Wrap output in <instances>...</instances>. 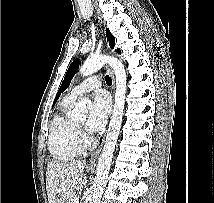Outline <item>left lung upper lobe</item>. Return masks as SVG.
<instances>
[{
  "label": "left lung upper lobe",
  "mask_w": 214,
  "mask_h": 203,
  "mask_svg": "<svg viewBox=\"0 0 214 203\" xmlns=\"http://www.w3.org/2000/svg\"><path fill=\"white\" fill-rule=\"evenodd\" d=\"M106 36H107V40L109 41V45L110 48L113 49L114 48V44H115V38L114 36L110 33L109 29H106ZM116 52L120 53V50L117 49ZM78 67H79V60H75L71 63V65L69 66L67 73L65 75V78L61 84V87L55 97V101L53 103V105L55 104V102L57 101V99L59 98V96L61 95L62 92H64V90H66L69 85L70 82L73 78V76L76 74V72L78 71Z\"/></svg>",
  "instance_id": "obj_1"
}]
</instances>
